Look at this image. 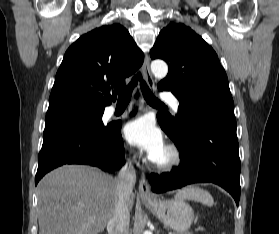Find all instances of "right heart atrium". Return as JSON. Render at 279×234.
I'll use <instances>...</instances> for the list:
<instances>
[{
    "label": "right heart atrium",
    "instance_id": "d8ad5b80",
    "mask_svg": "<svg viewBox=\"0 0 279 234\" xmlns=\"http://www.w3.org/2000/svg\"><path fill=\"white\" fill-rule=\"evenodd\" d=\"M133 153L131 152V151H128L127 153H126V159H127V161H132L133 160Z\"/></svg>",
    "mask_w": 279,
    "mask_h": 234
}]
</instances>
